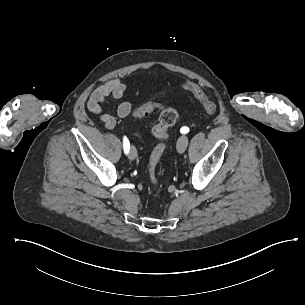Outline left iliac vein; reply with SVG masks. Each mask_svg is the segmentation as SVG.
Returning <instances> with one entry per match:
<instances>
[{
	"label": "left iliac vein",
	"mask_w": 305,
	"mask_h": 305,
	"mask_svg": "<svg viewBox=\"0 0 305 305\" xmlns=\"http://www.w3.org/2000/svg\"><path fill=\"white\" fill-rule=\"evenodd\" d=\"M188 146V138L185 135H182L177 140V150L179 153H183Z\"/></svg>",
	"instance_id": "4c4485c4"
}]
</instances>
